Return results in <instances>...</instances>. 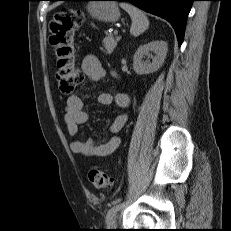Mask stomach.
Instances as JSON below:
<instances>
[{
  "instance_id": "0dacf381",
  "label": "stomach",
  "mask_w": 231,
  "mask_h": 231,
  "mask_svg": "<svg viewBox=\"0 0 231 231\" xmlns=\"http://www.w3.org/2000/svg\"><path fill=\"white\" fill-rule=\"evenodd\" d=\"M92 18L103 22H116L120 17L119 9L115 2L93 1L87 6Z\"/></svg>"
}]
</instances>
